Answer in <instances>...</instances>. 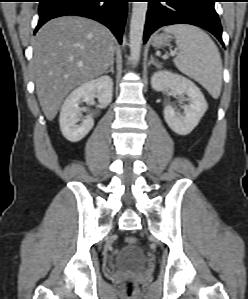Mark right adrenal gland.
Wrapping results in <instances>:
<instances>
[{
    "label": "right adrenal gland",
    "mask_w": 248,
    "mask_h": 299,
    "mask_svg": "<svg viewBox=\"0 0 248 299\" xmlns=\"http://www.w3.org/2000/svg\"><path fill=\"white\" fill-rule=\"evenodd\" d=\"M109 72L114 73V59H112V61L110 63V66H109V69H107L105 73L107 74Z\"/></svg>",
    "instance_id": "2a0ac1e0"
}]
</instances>
